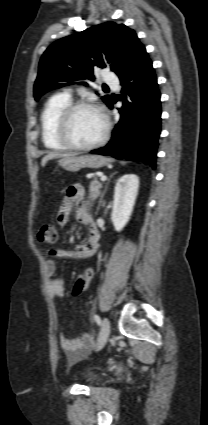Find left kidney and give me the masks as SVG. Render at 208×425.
Returning <instances> with one entry per match:
<instances>
[{"label": "left kidney", "instance_id": "1", "mask_svg": "<svg viewBox=\"0 0 208 425\" xmlns=\"http://www.w3.org/2000/svg\"><path fill=\"white\" fill-rule=\"evenodd\" d=\"M139 189V177L135 174H125L116 183L111 214L116 231H121L128 223L132 214Z\"/></svg>", "mask_w": 208, "mask_h": 425}]
</instances>
